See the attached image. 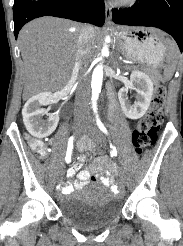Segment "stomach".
<instances>
[{
	"label": "stomach",
	"mask_w": 183,
	"mask_h": 246,
	"mask_svg": "<svg viewBox=\"0 0 183 246\" xmlns=\"http://www.w3.org/2000/svg\"><path fill=\"white\" fill-rule=\"evenodd\" d=\"M117 42L122 53L148 66L157 67L165 58L166 47L155 29L121 27Z\"/></svg>",
	"instance_id": "stomach-1"
}]
</instances>
